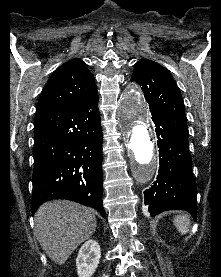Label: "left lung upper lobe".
I'll list each match as a JSON object with an SVG mask.
<instances>
[{
	"instance_id": "left-lung-upper-lobe-1",
	"label": "left lung upper lobe",
	"mask_w": 221,
	"mask_h": 277,
	"mask_svg": "<svg viewBox=\"0 0 221 277\" xmlns=\"http://www.w3.org/2000/svg\"><path fill=\"white\" fill-rule=\"evenodd\" d=\"M131 80L142 86L150 111L158 113L188 137L183 99L170 72L154 61L143 59L135 64Z\"/></svg>"
}]
</instances>
